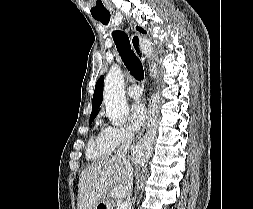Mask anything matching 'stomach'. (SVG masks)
Wrapping results in <instances>:
<instances>
[{
  "label": "stomach",
  "instance_id": "obj_1",
  "mask_svg": "<svg viewBox=\"0 0 253 209\" xmlns=\"http://www.w3.org/2000/svg\"><path fill=\"white\" fill-rule=\"evenodd\" d=\"M95 209H111L110 196H101Z\"/></svg>",
  "mask_w": 253,
  "mask_h": 209
}]
</instances>
